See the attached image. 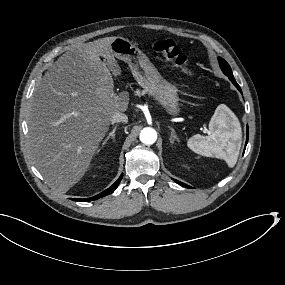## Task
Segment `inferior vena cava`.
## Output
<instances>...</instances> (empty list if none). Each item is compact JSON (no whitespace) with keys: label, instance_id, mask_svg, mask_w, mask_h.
<instances>
[{"label":"inferior vena cava","instance_id":"1","mask_svg":"<svg viewBox=\"0 0 285 285\" xmlns=\"http://www.w3.org/2000/svg\"><path fill=\"white\" fill-rule=\"evenodd\" d=\"M111 122L114 124V123H118V122H123V123H127L128 122V117L121 113V112H115L113 115H112V119H111Z\"/></svg>","mask_w":285,"mask_h":285}]
</instances>
